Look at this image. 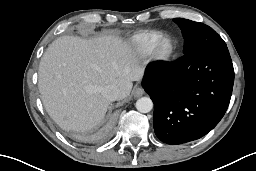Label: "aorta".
<instances>
[{"label": "aorta", "instance_id": "1", "mask_svg": "<svg viewBox=\"0 0 256 171\" xmlns=\"http://www.w3.org/2000/svg\"><path fill=\"white\" fill-rule=\"evenodd\" d=\"M153 108V102L149 97L139 98L136 102V109L141 113H148Z\"/></svg>", "mask_w": 256, "mask_h": 171}]
</instances>
